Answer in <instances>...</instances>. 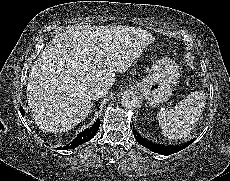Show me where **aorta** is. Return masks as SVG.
<instances>
[{"label": "aorta", "mask_w": 230, "mask_h": 181, "mask_svg": "<svg viewBox=\"0 0 230 181\" xmlns=\"http://www.w3.org/2000/svg\"><path fill=\"white\" fill-rule=\"evenodd\" d=\"M121 103L126 109H137L140 107L141 101L133 92H126L122 95Z\"/></svg>", "instance_id": "1"}]
</instances>
